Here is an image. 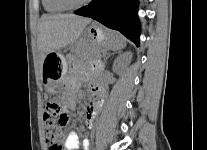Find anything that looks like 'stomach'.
Instances as JSON below:
<instances>
[{
  "label": "stomach",
  "instance_id": "0dacf381",
  "mask_svg": "<svg viewBox=\"0 0 207 150\" xmlns=\"http://www.w3.org/2000/svg\"><path fill=\"white\" fill-rule=\"evenodd\" d=\"M83 41L86 50L92 47L117 50L125 46V41L119 34H108L95 23L85 29ZM98 56L99 54L95 55V58ZM66 72L67 59L63 53L54 51L45 56L42 73L48 93L58 96L68 91L69 86L63 81Z\"/></svg>",
  "mask_w": 207,
  "mask_h": 150
}]
</instances>
